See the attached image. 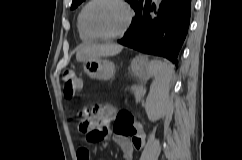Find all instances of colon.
<instances>
[{"mask_svg":"<svg viewBox=\"0 0 242 160\" xmlns=\"http://www.w3.org/2000/svg\"><path fill=\"white\" fill-rule=\"evenodd\" d=\"M63 94L65 97L71 98L74 94L81 89L82 82L77 77L73 69L67 68L62 72L61 75ZM85 113L88 117L95 116V111L91 108H87ZM89 123L83 122L81 125L82 130H88ZM114 130L119 133L129 134L136 131L135 120L131 112L129 111H119L115 118ZM104 137V133L100 130L90 131L87 135V140L89 142H95Z\"/></svg>","mask_w":242,"mask_h":160,"instance_id":"colon-1","label":"colon"}]
</instances>
